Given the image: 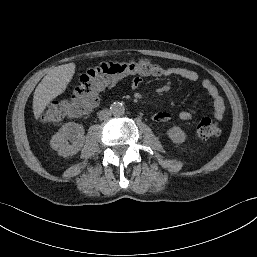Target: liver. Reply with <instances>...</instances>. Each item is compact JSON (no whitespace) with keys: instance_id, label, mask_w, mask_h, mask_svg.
Returning <instances> with one entry per match:
<instances>
[{"instance_id":"obj_1","label":"liver","mask_w":257,"mask_h":257,"mask_svg":"<svg viewBox=\"0 0 257 257\" xmlns=\"http://www.w3.org/2000/svg\"><path fill=\"white\" fill-rule=\"evenodd\" d=\"M75 64L68 63L51 69L35 89L33 96V113L36 120L46 106L62 94L75 73Z\"/></svg>"}]
</instances>
